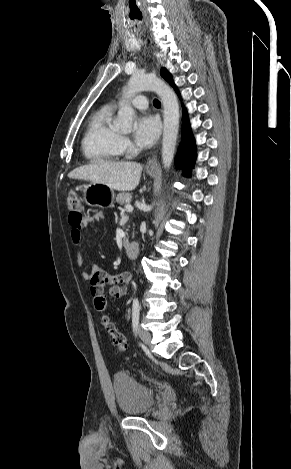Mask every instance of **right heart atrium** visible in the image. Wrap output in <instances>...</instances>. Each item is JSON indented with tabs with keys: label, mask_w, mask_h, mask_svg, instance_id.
I'll use <instances>...</instances> for the list:
<instances>
[{
	"label": "right heart atrium",
	"mask_w": 291,
	"mask_h": 469,
	"mask_svg": "<svg viewBox=\"0 0 291 469\" xmlns=\"http://www.w3.org/2000/svg\"><path fill=\"white\" fill-rule=\"evenodd\" d=\"M121 145L124 150L130 149L132 147L131 142L127 137H121Z\"/></svg>",
	"instance_id": "d8ad5b80"
}]
</instances>
